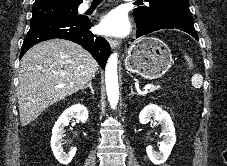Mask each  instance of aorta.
<instances>
[{"label": "aorta", "instance_id": "1", "mask_svg": "<svg viewBox=\"0 0 227 166\" xmlns=\"http://www.w3.org/2000/svg\"><path fill=\"white\" fill-rule=\"evenodd\" d=\"M117 63L118 55L117 53H113L109 57L105 69L107 97L112 108H115L117 106L119 100Z\"/></svg>", "mask_w": 227, "mask_h": 166}]
</instances>
